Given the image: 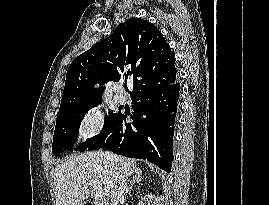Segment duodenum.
<instances>
[{
    "label": "duodenum",
    "mask_w": 269,
    "mask_h": 205,
    "mask_svg": "<svg viewBox=\"0 0 269 205\" xmlns=\"http://www.w3.org/2000/svg\"><path fill=\"white\" fill-rule=\"evenodd\" d=\"M84 205H100L99 203L87 202Z\"/></svg>",
    "instance_id": "1"
}]
</instances>
